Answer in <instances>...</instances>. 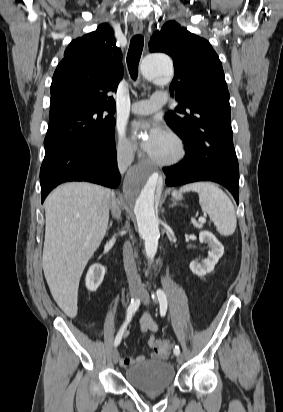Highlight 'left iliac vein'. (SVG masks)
I'll use <instances>...</instances> for the list:
<instances>
[{"label":"left iliac vein","instance_id":"obj_1","mask_svg":"<svg viewBox=\"0 0 283 412\" xmlns=\"http://www.w3.org/2000/svg\"><path fill=\"white\" fill-rule=\"evenodd\" d=\"M140 297H141V299H142V302H143L145 305H147V304L149 303V301H150V296H149V293H148V291L146 290V288H144V287L141 288V290H140ZM183 361H184L183 355H181V354L178 355V356H177V362H178V364H182Z\"/></svg>","mask_w":283,"mask_h":412}]
</instances>
